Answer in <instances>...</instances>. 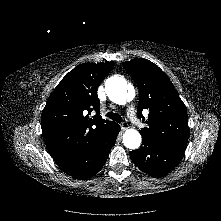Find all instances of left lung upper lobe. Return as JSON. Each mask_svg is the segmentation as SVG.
<instances>
[{
  "instance_id": "left-lung-upper-lobe-1",
  "label": "left lung upper lobe",
  "mask_w": 221,
  "mask_h": 221,
  "mask_svg": "<svg viewBox=\"0 0 221 221\" xmlns=\"http://www.w3.org/2000/svg\"><path fill=\"white\" fill-rule=\"evenodd\" d=\"M139 88L137 115L149 111L147 127L140 133L166 146L185 150L188 137L186 106L166 74L147 59H134L122 63Z\"/></svg>"
}]
</instances>
